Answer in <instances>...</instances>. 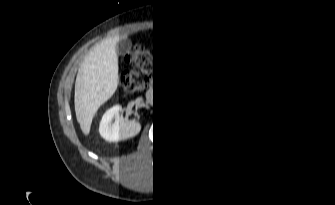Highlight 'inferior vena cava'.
Segmentation results:
<instances>
[{"mask_svg": "<svg viewBox=\"0 0 335 205\" xmlns=\"http://www.w3.org/2000/svg\"><path fill=\"white\" fill-rule=\"evenodd\" d=\"M148 97L150 98V100L152 101V91L148 92Z\"/></svg>", "mask_w": 335, "mask_h": 205, "instance_id": "602c4592", "label": "inferior vena cava"}]
</instances>
